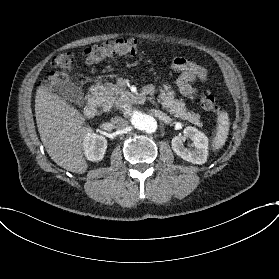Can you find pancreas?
<instances>
[{
  "label": "pancreas",
  "mask_w": 279,
  "mask_h": 279,
  "mask_svg": "<svg viewBox=\"0 0 279 279\" xmlns=\"http://www.w3.org/2000/svg\"><path fill=\"white\" fill-rule=\"evenodd\" d=\"M94 89L95 96L99 100L100 106L114 105L117 98L123 95L122 91H119L113 84L108 82H105L104 85L96 84ZM174 95L175 92L172 90V86L166 82L159 91L157 101L162 104L168 113L173 114L175 117L187 120L196 125L199 124L195 113L186 112L184 102L182 100H177Z\"/></svg>",
  "instance_id": "pancreas-1"
}]
</instances>
